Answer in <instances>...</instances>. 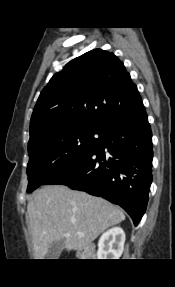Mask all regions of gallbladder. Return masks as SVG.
Returning <instances> with one entry per match:
<instances>
[{
  "label": "gallbladder",
  "instance_id": "obj_1",
  "mask_svg": "<svg viewBox=\"0 0 175 287\" xmlns=\"http://www.w3.org/2000/svg\"><path fill=\"white\" fill-rule=\"evenodd\" d=\"M65 246V239L53 242L46 254V259H57Z\"/></svg>",
  "mask_w": 175,
  "mask_h": 287
}]
</instances>
